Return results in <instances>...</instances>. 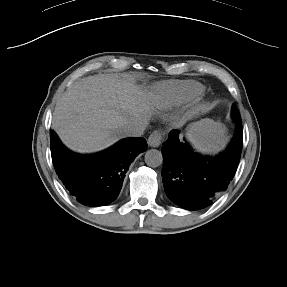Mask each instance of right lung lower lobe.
I'll use <instances>...</instances> for the list:
<instances>
[{
	"label": "right lung lower lobe",
	"instance_id": "obj_1",
	"mask_svg": "<svg viewBox=\"0 0 287 287\" xmlns=\"http://www.w3.org/2000/svg\"><path fill=\"white\" fill-rule=\"evenodd\" d=\"M50 140L58 177L80 203L93 207L117 198L130 163L147 149L146 140L135 137L93 155H80L65 148L54 131L50 132Z\"/></svg>",
	"mask_w": 287,
	"mask_h": 287
}]
</instances>
